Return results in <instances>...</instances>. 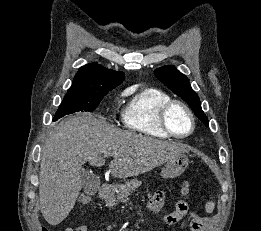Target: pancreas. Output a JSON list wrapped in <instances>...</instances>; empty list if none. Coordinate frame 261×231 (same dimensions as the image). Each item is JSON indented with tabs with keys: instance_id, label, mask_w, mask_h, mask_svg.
I'll use <instances>...</instances> for the list:
<instances>
[{
	"instance_id": "1",
	"label": "pancreas",
	"mask_w": 261,
	"mask_h": 231,
	"mask_svg": "<svg viewBox=\"0 0 261 231\" xmlns=\"http://www.w3.org/2000/svg\"><path fill=\"white\" fill-rule=\"evenodd\" d=\"M141 185V181L138 179H132L129 182L122 184L118 188L117 196H110L107 198L106 205L109 207L116 206L118 201H123L127 198L136 188Z\"/></svg>"
}]
</instances>
